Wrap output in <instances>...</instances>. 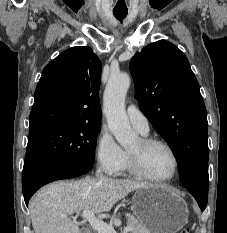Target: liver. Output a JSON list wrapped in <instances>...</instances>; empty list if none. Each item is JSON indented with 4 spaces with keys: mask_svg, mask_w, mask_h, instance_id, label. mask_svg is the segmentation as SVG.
<instances>
[{
    "mask_svg": "<svg viewBox=\"0 0 227 233\" xmlns=\"http://www.w3.org/2000/svg\"><path fill=\"white\" fill-rule=\"evenodd\" d=\"M151 184L113 178H84L55 182L31 199L29 210L35 233H80L69 216L84 209L93 214L108 212L130 192Z\"/></svg>",
    "mask_w": 227,
    "mask_h": 233,
    "instance_id": "obj_1",
    "label": "liver"
}]
</instances>
